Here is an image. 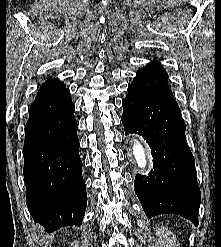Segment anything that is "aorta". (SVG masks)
Instances as JSON below:
<instances>
[{
  "label": "aorta",
  "mask_w": 221,
  "mask_h": 247,
  "mask_svg": "<svg viewBox=\"0 0 221 247\" xmlns=\"http://www.w3.org/2000/svg\"><path fill=\"white\" fill-rule=\"evenodd\" d=\"M133 155L139 168L144 169L147 165L146 149L138 139L132 140Z\"/></svg>",
  "instance_id": "obj_1"
}]
</instances>
